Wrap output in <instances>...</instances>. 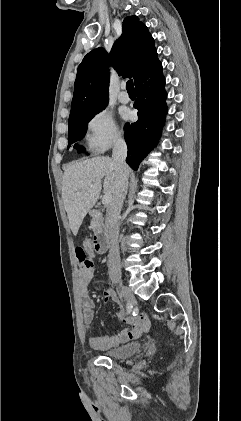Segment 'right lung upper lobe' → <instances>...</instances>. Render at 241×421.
Returning <instances> with one entry per match:
<instances>
[{
    "label": "right lung upper lobe",
    "mask_w": 241,
    "mask_h": 421,
    "mask_svg": "<svg viewBox=\"0 0 241 421\" xmlns=\"http://www.w3.org/2000/svg\"><path fill=\"white\" fill-rule=\"evenodd\" d=\"M123 33L114 43L110 55L103 48L89 52L80 63L74 85L69 119L101 111L108 103L111 65L119 75L139 77L157 59L154 39L138 17L125 18Z\"/></svg>",
    "instance_id": "right-lung-upper-lobe-1"
}]
</instances>
